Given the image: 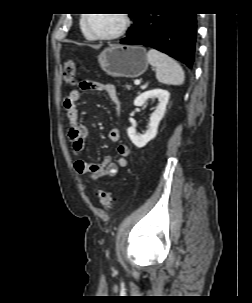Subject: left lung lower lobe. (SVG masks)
I'll use <instances>...</instances> for the list:
<instances>
[{
    "mask_svg": "<svg viewBox=\"0 0 252 303\" xmlns=\"http://www.w3.org/2000/svg\"><path fill=\"white\" fill-rule=\"evenodd\" d=\"M195 13H141L122 44H139L162 51L191 68L195 56Z\"/></svg>",
    "mask_w": 252,
    "mask_h": 303,
    "instance_id": "obj_1",
    "label": "left lung lower lobe"
}]
</instances>
